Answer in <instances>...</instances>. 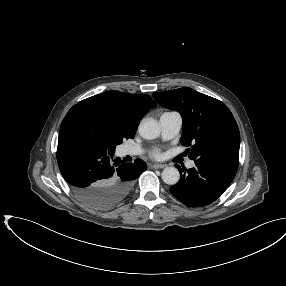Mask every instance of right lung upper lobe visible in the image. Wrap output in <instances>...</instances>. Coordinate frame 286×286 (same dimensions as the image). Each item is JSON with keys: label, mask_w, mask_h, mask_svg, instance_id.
Segmentation results:
<instances>
[{"label": "right lung upper lobe", "mask_w": 286, "mask_h": 286, "mask_svg": "<svg viewBox=\"0 0 286 286\" xmlns=\"http://www.w3.org/2000/svg\"><path fill=\"white\" fill-rule=\"evenodd\" d=\"M155 101L147 94H127L107 91L80 101L72 108H84L101 114L111 121L114 132L124 138H133L139 120Z\"/></svg>", "instance_id": "obj_1"}]
</instances>
